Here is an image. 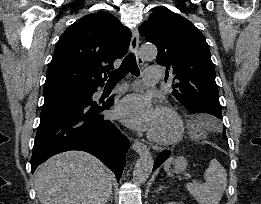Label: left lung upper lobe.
Listing matches in <instances>:
<instances>
[{"label":"left lung upper lobe","mask_w":261,"mask_h":204,"mask_svg":"<svg viewBox=\"0 0 261 204\" xmlns=\"http://www.w3.org/2000/svg\"><path fill=\"white\" fill-rule=\"evenodd\" d=\"M139 31L156 45V62L166 66V77L174 76L175 98L189 112L203 115L222 129L215 69L203 34L186 18L166 10L154 11Z\"/></svg>","instance_id":"left-lung-upper-lobe-1"}]
</instances>
